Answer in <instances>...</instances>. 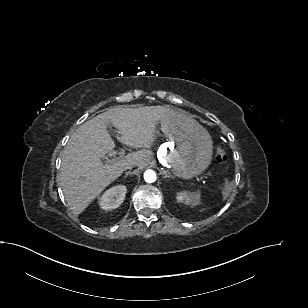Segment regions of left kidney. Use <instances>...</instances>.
<instances>
[{"instance_id":"5707ae66","label":"left kidney","mask_w":308,"mask_h":308,"mask_svg":"<svg viewBox=\"0 0 308 308\" xmlns=\"http://www.w3.org/2000/svg\"><path fill=\"white\" fill-rule=\"evenodd\" d=\"M199 198H200L199 193L188 195V193L185 191L178 193L176 196L178 202H184L185 204H195V203L198 204Z\"/></svg>"}]
</instances>
